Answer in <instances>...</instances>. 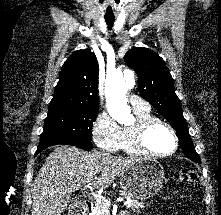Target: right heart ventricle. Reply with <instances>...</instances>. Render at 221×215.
Here are the masks:
<instances>
[{
  "instance_id": "1",
  "label": "right heart ventricle",
  "mask_w": 221,
  "mask_h": 215,
  "mask_svg": "<svg viewBox=\"0 0 221 215\" xmlns=\"http://www.w3.org/2000/svg\"><path fill=\"white\" fill-rule=\"evenodd\" d=\"M134 114L136 116V122L143 121V120L153 117L150 109L149 110L134 111ZM132 127L133 126L125 127L123 129H121V142H120L119 148H121L123 151H125L128 154L136 155V154H140V153H138L132 145V140H131Z\"/></svg>"
}]
</instances>
